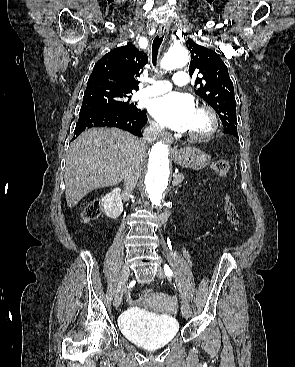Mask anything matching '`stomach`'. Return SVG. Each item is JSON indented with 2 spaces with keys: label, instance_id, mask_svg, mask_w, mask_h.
I'll return each mask as SVG.
<instances>
[{
  "label": "stomach",
  "instance_id": "1",
  "mask_svg": "<svg viewBox=\"0 0 295 367\" xmlns=\"http://www.w3.org/2000/svg\"><path fill=\"white\" fill-rule=\"evenodd\" d=\"M172 158L175 163L181 167L190 168L192 170L204 169L211 161L208 154L190 146L175 150L172 154Z\"/></svg>",
  "mask_w": 295,
  "mask_h": 367
}]
</instances>
